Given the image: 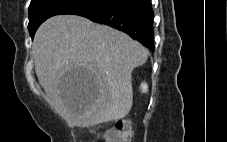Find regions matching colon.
Instances as JSON below:
<instances>
[{
	"instance_id": "colon-1",
	"label": "colon",
	"mask_w": 227,
	"mask_h": 142,
	"mask_svg": "<svg viewBox=\"0 0 227 142\" xmlns=\"http://www.w3.org/2000/svg\"><path fill=\"white\" fill-rule=\"evenodd\" d=\"M131 134V122L129 120H120L100 135L99 142H129Z\"/></svg>"
}]
</instances>
